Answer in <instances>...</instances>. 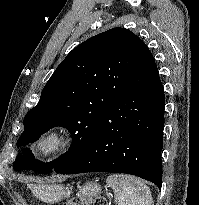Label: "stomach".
<instances>
[{"mask_svg":"<svg viewBox=\"0 0 199 205\" xmlns=\"http://www.w3.org/2000/svg\"><path fill=\"white\" fill-rule=\"evenodd\" d=\"M31 190L34 196L43 202L55 203L70 197L72 187L62 184H33ZM102 188L97 181L86 182L83 186H78L77 195L82 199L97 198L101 194Z\"/></svg>","mask_w":199,"mask_h":205,"instance_id":"0dacf381","label":"stomach"}]
</instances>
